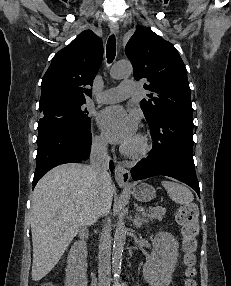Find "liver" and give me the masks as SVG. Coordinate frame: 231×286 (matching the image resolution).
Returning a JSON list of instances; mask_svg holds the SVG:
<instances>
[{
    "mask_svg": "<svg viewBox=\"0 0 231 286\" xmlns=\"http://www.w3.org/2000/svg\"><path fill=\"white\" fill-rule=\"evenodd\" d=\"M98 182L91 167L62 164L50 170L36 185L31 198L33 243L32 279L39 281L59 262L78 232L96 219ZM114 185H103V200L110 210Z\"/></svg>",
    "mask_w": 231,
    "mask_h": 286,
    "instance_id": "1",
    "label": "liver"
}]
</instances>
